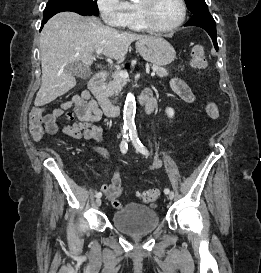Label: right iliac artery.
I'll use <instances>...</instances> for the list:
<instances>
[{
  "instance_id": "obj_1",
  "label": "right iliac artery",
  "mask_w": 261,
  "mask_h": 273,
  "mask_svg": "<svg viewBox=\"0 0 261 273\" xmlns=\"http://www.w3.org/2000/svg\"><path fill=\"white\" fill-rule=\"evenodd\" d=\"M130 132V131H129ZM129 136H130V133L128 134L126 132V129L124 130V135H123V140L120 144V150L123 154H125L128 150V140H129ZM102 196V193L101 192H97L96 193V197L97 198H100Z\"/></svg>"
}]
</instances>
